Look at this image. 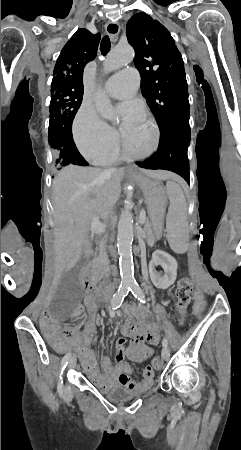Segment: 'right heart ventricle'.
Instances as JSON below:
<instances>
[{"instance_id": "obj_1", "label": "right heart ventricle", "mask_w": 241, "mask_h": 450, "mask_svg": "<svg viewBox=\"0 0 241 450\" xmlns=\"http://www.w3.org/2000/svg\"><path fill=\"white\" fill-rule=\"evenodd\" d=\"M119 158H120V152H117V149L115 148L114 153L111 156H109L107 159L95 161V162L99 163V164H113V163L117 162Z\"/></svg>"}]
</instances>
